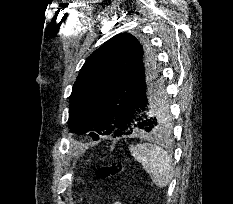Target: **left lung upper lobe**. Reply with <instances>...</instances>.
Returning a JSON list of instances; mask_svg holds the SVG:
<instances>
[{"mask_svg":"<svg viewBox=\"0 0 233 204\" xmlns=\"http://www.w3.org/2000/svg\"><path fill=\"white\" fill-rule=\"evenodd\" d=\"M153 60L148 44L129 33L114 36L94 51L73 85L68 120L71 132L88 134L93 140L101 135L121 136L123 130L116 118L119 104L138 69ZM155 116L159 131L168 130L171 114L165 91Z\"/></svg>","mask_w":233,"mask_h":204,"instance_id":"1","label":"left lung upper lobe"}]
</instances>
